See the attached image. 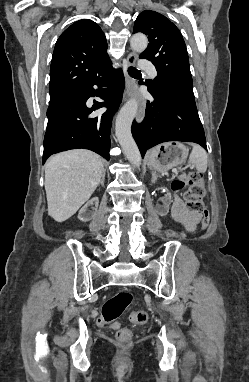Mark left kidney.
I'll return each instance as SVG.
<instances>
[{"label":"left kidney","instance_id":"obj_1","mask_svg":"<svg viewBox=\"0 0 249 382\" xmlns=\"http://www.w3.org/2000/svg\"><path fill=\"white\" fill-rule=\"evenodd\" d=\"M158 189L160 196L156 197V202L159 203L160 208H169L172 200L170 196L171 190L167 189L165 185H160Z\"/></svg>","mask_w":249,"mask_h":382}]
</instances>
